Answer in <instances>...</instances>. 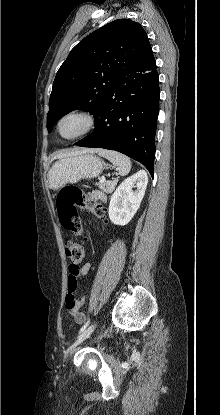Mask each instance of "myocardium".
<instances>
[{
  "instance_id": "obj_1",
  "label": "myocardium",
  "mask_w": 220,
  "mask_h": 415,
  "mask_svg": "<svg viewBox=\"0 0 220 415\" xmlns=\"http://www.w3.org/2000/svg\"><path fill=\"white\" fill-rule=\"evenodd\" d=\"M71 117L80 119L83 123V126L81 130L77 132L76 134L66 137L61 134L60 127H61V124L66 119L71 118ZM96 125H97V117L93 112L87 109H73L60 116V118L56 122L55 128H56V133L58 134L59 137H61L64 140L71 141V140H75V139L81 138L89 134L95 129Z\"/></svg>"
}]
</instances>
